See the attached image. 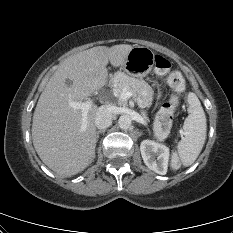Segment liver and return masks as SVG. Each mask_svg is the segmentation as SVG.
<instances>
[{
	"label": "liver",
	"mask_w": 233,
	"mask_h": 233,
	"mask_svg": "<svg viewBox=\"0 0 233 233\" xmlns=\"http://www.w3.org/2000/svg\"><path fill=\"white\" fill-rule=\"evenodd\" d=\"M132 45L97 46L65 59L41 93L33 114L32 140L40 159L61 177L73 176L95 158L97 106L93 105L82 129V102L108 79L107 64L123 66ZM70 80L69 86L66 81Z\"/></svg>",
	"instance_id": "obj_1"
}]
</instances>
